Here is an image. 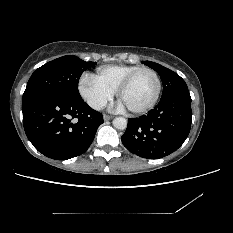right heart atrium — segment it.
Returning a JSON list of instances; mask_svg holds the SVG:
<instances>
[{
	"instance_id": "d8ad5b80",
	"label": "right heart atrium",
	"mask_w": 233,
	"mask_h": 233,
	"mask_svg": "<svg viewBox=\"0 0 233 233\" xmlns=\"http://www.w3.org/2000/svg\"><path fill=\"white\" fill-rule=\"evenodd\" d=\"M83 100L94 110H102L113 99L114 93L106 89L91 76H84L78 87Z\"/></svg>"
}]
</instances>
